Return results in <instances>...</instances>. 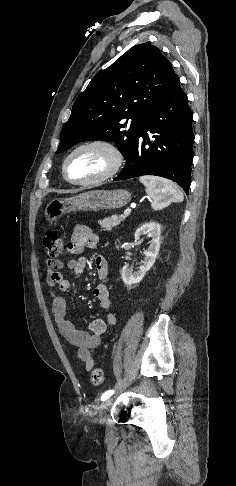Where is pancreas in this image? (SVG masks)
<instances>
[{
  "mask_svg": "<svg viewBox=\"0 0 236 486\" xmlns=\"http://www.w3.org/2000/svg\"><path fill=\"white\" fill-rule=\"evenodd\" d=\"M125 217L126 215H112L111 217H106L100 221L99 224L105 231H111L112 228L119 225L125 219Z\"/></svg>",
  "mask_w": 236,
  "mask_h": 486,
  "instance_id": "1",
  "label": "pancreas"
}]
</instances>
